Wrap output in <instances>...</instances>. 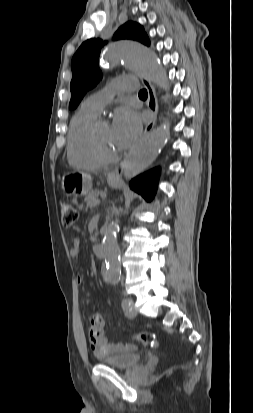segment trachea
Returning a JSON list of instances; mask_svg holds the SVG:
<instances>
[{
	"instance_id": "3493384b",
	"label": "trachea",
	"mask_w": 253,
	"mask_h": 413,
	"mask_svg": "<svg viewBox=\"0 0 253 413\" xmlns=\"http://www.w3.org/2000/svg\"><path fill=\"white\" fill-rule=\"evenodd\" d=\"M147 95H148L147 90H145V89H143L139 92V96H141V97H147Z\"/></svg>"
}]
</instances>
